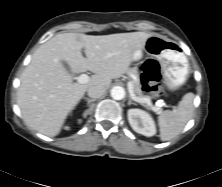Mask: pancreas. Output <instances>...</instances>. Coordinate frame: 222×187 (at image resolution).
<instances>
[{"instance_id": "pancreas-1", "label": "pancreas", "mask_w": 222, "mask_h": 187, "mask_svg": "<svg viewBox=\"0 0 222 187\" xmlns=\"http://www.w3.org/2000/svg\"><path fill=\"white\" fill-rule=\"evenodd\" d=\"M130 72L135 76V79L132 80V84H133V91L134 94L138 97V98H146V99H151L150 96L144 95L141 89V83L139 80V76H138V72L136 69H131ZM148 106V105H146ZM152 109V107H150ZM154 111H158L155 109H152Z\"/></svg>"}]
</instances>
